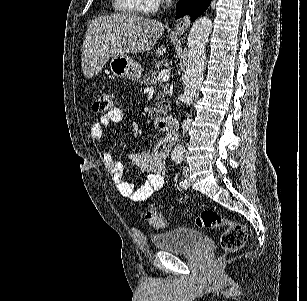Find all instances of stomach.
<instances>
[{
    "label": "stomach",
    "instance_id": "obj_1",
    "mask_svg": "<svg viewBox=\"0 0 307 301\" xmlns=\"http://www.w3.org/2000/svg\"><path fill=\"white\" fill-rule=\"evenodd\" d=\"M110 70L117 78H129L139 80L142 74V66L138 60L130 58L128 54H114L110 60Z\"/></svg>",
    "mask_w": 307,
    "mask_h": 301
}]
</instances>
